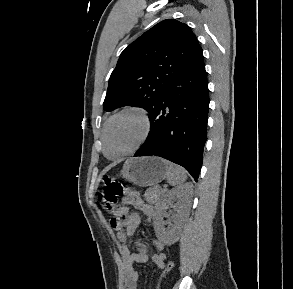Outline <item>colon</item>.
Listing matches in <instances>:
<instances>
[{"instance_id":"colon-1","label":"colon","mask_w":293,"mask_h":289,"mask_svg":"<svg viewBox=\"0 0 293 289\" xmlns=\"http://www.w3.org/2000/svg\"><path fill=\"white\" fill-rule=\"evenodd\" d=\"M123 190L124 187L120 182L111 177H105L104 188L99 195V203L101 207L108 213L114 212L118 202V197L121 195ZM111 226L114 229L120 228L122 226V220L112 218ZM173 265V260H170L166 266V270H170Z\"/></svg>"}]
</instances>
